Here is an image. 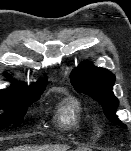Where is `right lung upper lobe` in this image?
<instances>
[{
	"label": "right lung upper lobe",
	"mask_w": 131,
	"mask_h": 151,
	"mask_svg": "<svg viewBox=\"0 0 131 151\" xmlns=\"http://www.w3.org/2000/svg\"><path fill=\"white\" fill-rule=\"evenodd\" d=\"M46 87V80L38 81L37 83L31 84L29 87L24 83L15 82L9 89H25V90H40Z\"/></svg>",
	"instance_id": "obj_1"
}]
</instances>
